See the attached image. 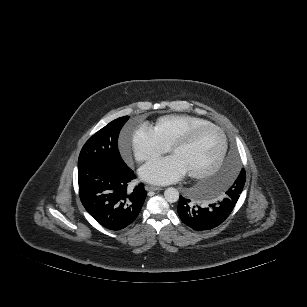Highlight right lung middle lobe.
I'll list each match as a JSON object with an SVG mask.
<instances>
[{
    "mask_svg": "<svg viewBox=\"0 0 307 307\" xmlns=\"http://www.w3.org/2000/svg\"><path fill=\"white\" fill-rule=\"evenodd\" d=\"M128 119L129 116L115 119L95 133L80 152L78 168L92 163H102L117 168L125 166L117 141L119 132Z\"/></svg>",
    "mask_w": 307,
    "mask_h": 307,
    "instance_id": "right-lung-middle-lobe-1",
    "label": "right lung middle lobe"
}]
</instances>
